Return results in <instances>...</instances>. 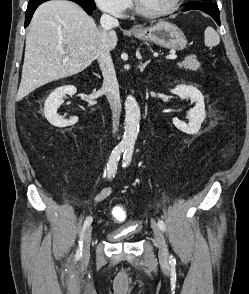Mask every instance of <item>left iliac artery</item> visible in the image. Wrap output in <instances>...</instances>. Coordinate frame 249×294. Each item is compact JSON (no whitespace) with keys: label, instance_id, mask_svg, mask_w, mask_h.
<instances>
[{"label":"left iliac artery","instance_id":"left-iliac-artery-1","mask_svg":"<svg viewBox=\"0 0 249 294\" xmlns=\"http://www.w3.org/2000/svg\"><path fill=\"white\" fill-rule=\"evenodd\" d=\"M133 149L134 147L132 145H129L126 147L124 155H123V167H126L130 163L132 154H133ZM158 226L160 227L162 231L166 230L165 223L162 220H158ZM169 263H175V259L173 258L172 255L170 256Z\"/></svg>","mask_w":249,"mask_h":294}]
</instances>
